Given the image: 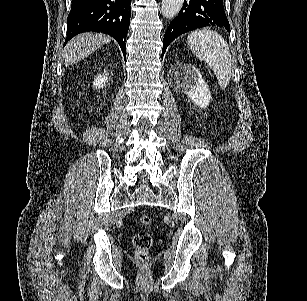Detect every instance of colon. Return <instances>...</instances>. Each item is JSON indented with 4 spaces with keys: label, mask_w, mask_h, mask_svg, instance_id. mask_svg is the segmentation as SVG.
Wrapping results in <instances>:
<instances>
[{
    "label": "colon",
    "mask_w": 307,
    "mask_h": 301,
    "mask_svg": "<svg viewBox=\"0 0 307 301\" xmlns=\"http://www.w3.org/2000/svg\"><path fill=\"white\" fill-rule=\"evenodd\" d=\"M140 224L143 227H150L152 225V218L149 215H143L140 218ZM152 243V235L147 231H139L134 235L133 245L135 247L136 258L139 262H147Z\"/></svg>",
    "instance_id": "5ec220e1"
}]
</instances>
